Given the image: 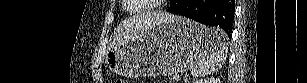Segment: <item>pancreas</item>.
<instances>
[{
	"mask_svg": "<svg viewBox=\"0 0 307 83\" xmlns=\"http://www.w3.org/2000/svg\"><path fill=\"white\" fill-rule=\"evenodd\" d=\"M169 80H170V83H172L174 79L170 78Z\"/></svg>",
	"mask_w": 307,
	"mask_h": 83,
	"instance_id": "1",
	"label": "pancreas"
}]
</instances>
